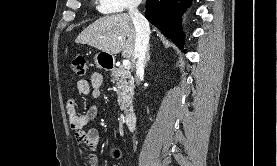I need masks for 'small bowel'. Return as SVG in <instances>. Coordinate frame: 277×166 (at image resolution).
<instances>
[{"label":"small bowel","instance_id":"small-bowel-1","mask_svg":"<svg viewBox=\"0 0 277 166\" xmlns=\"http://www.w3.org/2000/svg\"><path fill=\"white\" fill-rule=\"evenodd\" d=\"M103 76L94 72L89 79H81L77 82L76 88L81 96L91 95L98 99L101 95ZM70 116V127L75 132V138L80 145V152L85 161V166H98L97 149L100 143V135L97 129L90 127L91 121L97 114V105L91 104L83 114H77L75 104L70 101L67 105ZM118 149H112L111 155L115 158L120 156Z\"/></svg>","mask_w":277,"mask_h":166}]
</instances>
